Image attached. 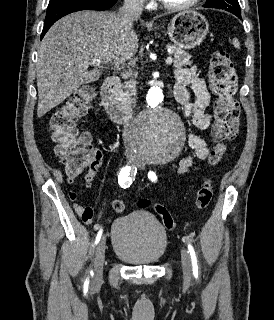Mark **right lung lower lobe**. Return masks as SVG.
I'll list each match as a JSON object with an SVG mask.
<instances>
[{"label": "right lung lower lobe", "instance_id": "98d812e1", "mask_svg": "<svg viewBox=\"0 0 274 320\" xmlns=\"http://www.w3.org/2000/svg\"><path fill=\"white\" fill-rule=\"evenodd\" d=\"M116 1L117 0H69L56 6L48 7L41 39L48 29L63 16L81 10H107L111 8Z\"/></svg>", "mask_w": 274, "mask_h": 320}]
</instances>
